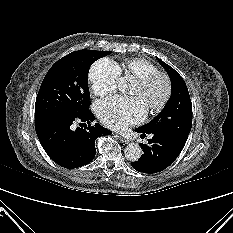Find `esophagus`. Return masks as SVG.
I'll return each mask as SVG.
<instances>
[{"instance_id": "1", "label": "esophagus", "mask_w": 233, "mask_h": 233, "mask_svg": "<svg viewBox=\"0 0 233 233\" xmlns=\"http://www.w3.org/2000/svg\"><path fill=\"white\" fill-rule=\"evenodd\" d=\"M120 141L123 142V143H129L130 142V139L129 138H126L124 136H120Z\"/></svg>"}]
</instances>
